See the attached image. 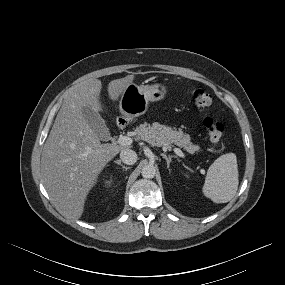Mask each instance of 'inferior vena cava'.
Listing matches in <instances>:
<instances>
[{"label":"inferior vena cava","instance_id":"inferior-vena-cava-1","mask_svg":"<svg viewBox=\"0 0 285 285\" xmlns=\"http://www.w3.org/2000/svg\"><path fill=\"white\" fill-rule=\"evenodd\" d=\"M120 159L123 163L132 165L137 161V154L131 149H125L121 151Z\"/></svg>","mask_w":285,"mask_h":285}]
</instances>
